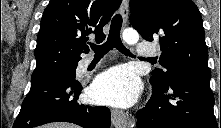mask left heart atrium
Returning a JSON list of instances; mask_svg holds the SVG:
<instances>
[{
  "label": "left heart atrium",
  "instance_id": "1",
  "mask_svg": "<svg viewBox=\"0 0 221 128\" xmlns=\"http://www.w3.org/2000/svg\"><path fill=\"white\" fill-rule=\"evenodd\" d=\"M99 103L116 107H129L138 98L139 80L124 66L114 67L100 75L90 91Z\"/></svg>",
  "mask_w": 221,
  "mask_h": 128
}]
</instances>
